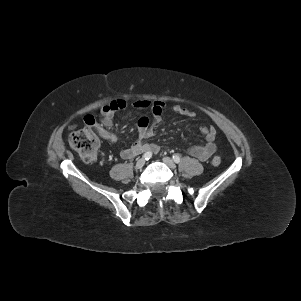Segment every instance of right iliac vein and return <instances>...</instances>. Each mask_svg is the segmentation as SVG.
Segmentation results:
<instances>
[{
    "label": "right iliac vein",
    "mask_w": 301,
    "mask_h": 301,
    "mask_svg": "<svg viewBox=\"0 0 301 301\" xmlns=\"http://www.w3.org/2000/svg\"><path fill=\"white\" fill-rule=\"evenodd\" d=\"M145 164V159L141 158L137 161L136 165H135V169L139 170L141 169Z\"/></svg>",
    "instance_id": "63e3f726"
}]
</instances>
